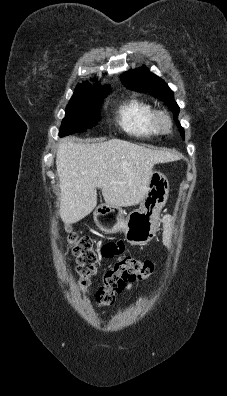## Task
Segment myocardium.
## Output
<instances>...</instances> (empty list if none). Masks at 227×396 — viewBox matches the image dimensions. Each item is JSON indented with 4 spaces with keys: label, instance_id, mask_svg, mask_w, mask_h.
Here are the masks:
<instances>
[{
    "label": "myocardium",
    "instance_id": "obj_1",
    "mask_svg": "<svg viewBox=\"0 0 227 396\" xmlns=\"http://www.w3.org/2000/svg\"><path fill=\"white\" fill-rule=\"evenodd\" d=\"M153 123L159 133L169 134L173 130V120L166 110H155Z\"/></svg>",
    "mask_w": 227,
    "mask_h": 396
}]
</instances>
